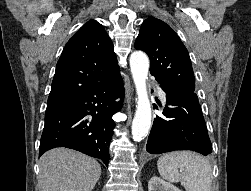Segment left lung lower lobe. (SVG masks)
<instances>
[{
  "mask_svg": "<svg viewBox=\"0 0 251 191\" xmlns=\"http://www.w3.org/2000/svg\"><path fill=\"white\" fill-rule=\"evenodd\" d=\"M166 93L164 118L156 116L146 150L160 154L174 150H192L203 155L212 152V145L203 118L198 97L194 92L169 91ZM157 109V106L154 105Z\"/></svg>",
  "mask_w": 251,
  "mask_h": 191,
  "instance_id": "obj_1",
  "label": "left lung lower lobe"
}]
</instances>
